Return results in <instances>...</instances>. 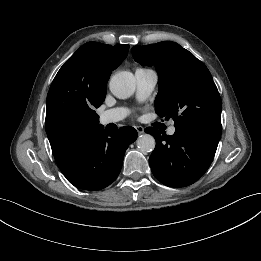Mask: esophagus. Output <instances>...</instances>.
Instances as JSON below:
<instances>
[{
    "label": "esophagus",
    "instance_id": "esophagus-1",
    "mask_svg": "<svg viewBox=\"0 0 261 261\" xmlns=\"http://www.w3.org/2000/svg\"><path fill=\"white\" fill-rule=\"evenodd\" d=\"M136 130L138 132L139 135L143 134L144 133V128L142 126H137L136 127Z\"/></svg>",
    "mask_w": 261,
    "mask_h": 261
}]
</instances>
